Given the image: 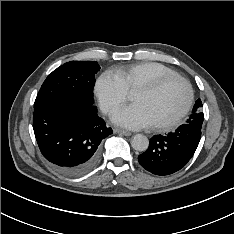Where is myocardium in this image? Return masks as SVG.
<instances>
[{"mask_svg": "<svg viewBox=\"0 0 234 234\" xmlns=\"http://www.w3.org/2000/svg\"><path fill=\"white\" fill-rule=\"evenodd\" d=\"M172 81H180L185 86L186 91H187L186 103L184 107L182 108V110L171 120L164 122V123L152 125V128L154 130L166 131V130L172 129L184 119V117L188 114L193 104V100H194L193 88L190 82L186 78L177 74V75H169V76H164L162 78H159L149 84L140 86L135 91V93L152 94Z\"/></svg>", "mask_w": 234, "mask_h": 234, "instance_id": "obj_1", "label": "myocardium"}]
</instances>
